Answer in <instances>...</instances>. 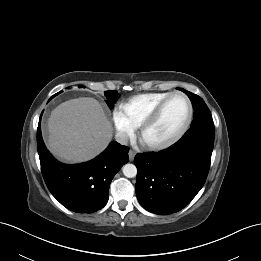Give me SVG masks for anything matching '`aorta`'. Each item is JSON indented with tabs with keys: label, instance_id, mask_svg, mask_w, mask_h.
Listing matches in <instances>:
<instances>
[{
	"label": "aorta",
	"instance_id": "obj_1",
	"mask_svg": "<svg viewBox=\"0 0 261 261\" xmlns=\"http://www.w3.org/2000/svg\"><path fill=\"white\" fill-rule=\"evenodd\" d=\"M122 170L124 176L127 178H134L137 175V168L134 164H125Z\"/></svg>",
	"mask_w": 261,
	"mask_h": 261
}]
</instances>
